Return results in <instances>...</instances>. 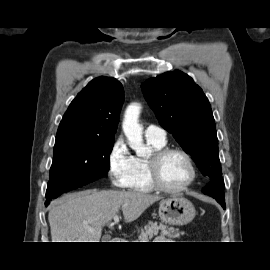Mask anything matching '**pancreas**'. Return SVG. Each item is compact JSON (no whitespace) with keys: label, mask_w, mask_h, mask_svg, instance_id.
Returning a JSON list of instances; mask_svg holds the SVG:
<instances>
[{"label":"pancreas","mask_w":270,"mask_h":270,"mask_svg":"<svg viewBox=\"0 0 270 270\" xmlns=\"http://www.w3.org/2000/svg\"><path fill=\"white\" fill-rule=\"evenodd\" d=\"M159 231H161V236L168 238H179L180 231L178 229H175L173 227H168L162 223L157 222H149L148 225L144 227L143 230H141L138 240L135 242H149V239H152L154 236L158 235Z\"/></svg>","instance_id":"1"}]
</instances>
